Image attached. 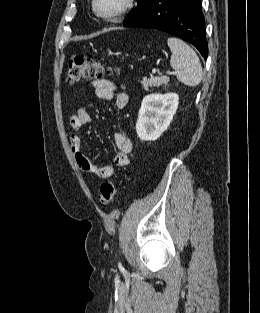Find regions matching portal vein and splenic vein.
<instances>
[{
	"label": "portal vein and splenic vein",
	"instance_id": "portal-vein-and-splenic-vein-1",
	"mask_svg": "<svg viewBox=\"0 0 260 313\" xmlns=\"http://www.w3.org/2000/svg\"><path fill=\"white\" fill-rule=\"evenodd\" d=\"M156 71H157V70L154 69L152 72H153V73H156ZM168 74H170V75H176V72L172 71V72H168Z\"/></svg>",
	"mask_w": 260,
	"mask_h": 313
}]
</instances>
